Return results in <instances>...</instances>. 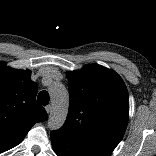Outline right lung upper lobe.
<instances>
[{
    "instance_id": "obj_1",
    "label": "right lung upper lobe",
    "mask_w": 156,
    "mask_h": 156,
    "mask_svg": "<svg viewBox=\"0 0 156 156\" xmlns=\"http://www.w3.org/2000/svg\"><path fill=\"white\" fill-rule=\"evenodd\" d=\"M30 74L0 62V152L19 144L35 123L47 120Z\"/></svg>"
}]
</instances>
